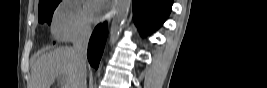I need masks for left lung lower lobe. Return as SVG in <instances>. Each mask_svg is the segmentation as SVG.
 <instances>
[{
    "instance_id": "left-lung-lower-lobe-1",
    "label": "left lung lower lobe",
    "mask_w": 267,
    "mask_h": 88,
    "mask_svg": "<svg viewBox=\"0 0 267 88\" xmlns=\"http://www.w3.org/2000/svg\"><path fill=\"white\" fill-rule=\"evenodd\" d=\"M172 0H133V17L142 35L158 29L168 17Z\"/></svg>"
}]
</instances>
